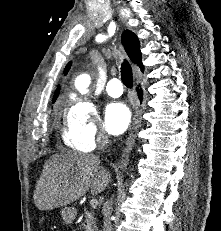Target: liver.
<instances>
[{"instance_id":"6515ba94","label":"liver","mask_w":221,"mask_h":231,"mask_svg":"<svg viewBox=\"0 0 221 231\" xmlns=\"http://www.w3.org/2000/svg\"><path fill=\"white\" fill-rule=\"evenodd\" d=\"M110 174L100 166L98 156L65 151L47 161L34 192L39 210H53L75 202L91 189V194L105 190Z\"/></svg>"}]
</instances>
